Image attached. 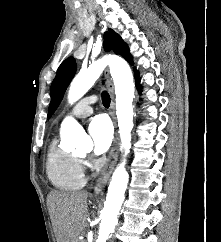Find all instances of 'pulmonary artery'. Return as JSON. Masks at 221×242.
Wrapping results in <instances>:
<instances>
[{
  "label": "pulmonary artery",
  "mask_w": 221,
  "mask_h": 242,
  "mask_svg": "<svg viewBox=\"0 0 221 242\" xmlns=\"http://www.w3.org/2000/svg\"><path fill=\"white\" fill-rule=\"evenodd\" d=\"M97 100L95 95L82 98L76 103L70 111V114L76 118L87 117L93 112L92 104Z\"/></svg>",
  "instance_id": "e3ab8cb5"
}]
</instances>
